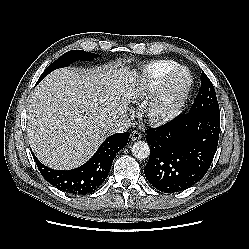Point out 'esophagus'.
Returning a JSON list of instances; mask_svg holds the SVG:
<instances>
[{"label": "esophagus", "instance_id": "34e87169", "mask_svg": "<svg viewBox=\"0 0 249 249\" xmlns=\"http://www.w3.org/2000/svg\"><path fill=\"white\" fill-rule=\"evenodd\" d=\"M141 138V134L138 131H132L131 133V139L133 141L138 140Z\"/></svg>", "mask_w": 249, "mask_h": 249}]
</instances>
